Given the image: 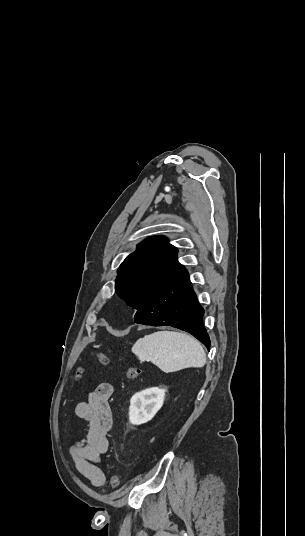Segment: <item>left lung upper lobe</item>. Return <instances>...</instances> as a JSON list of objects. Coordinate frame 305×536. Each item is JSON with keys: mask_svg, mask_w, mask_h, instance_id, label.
Listing matches in <instances>:
<instances>
[{"mask_svg": "<svg viewBox=\"0 0 305 536\" xmlns=\"http://www.w3.org/2000/svg\"><path fill=\"white\" fill-rule=\"evenodd\" d=\"M186 271L177 260V248L163 236L138 244L120 265L115 289L127 305L139 309L151 296Z\"/></svg>", "mask_w": 305, "mask_h": 536, "instance_id": "obj_1", "label": "left lung upper lobe"}]
</instances>
